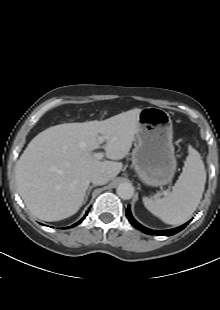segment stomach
I'll list each match as a JSON object with an SVG mask.
<instances>
[{
	"label": "stomach",
	"instance_id": "stomach-1",
	"mask_svg": "<svg viewBox=\"0 0 220 310\" xmlns=\"http://www.w3.org/2000/svg\"><path fill=\"white\" fill-rule=\"evenodd\" d=\"M136 139L132 163L140 180L149 186L171 182L177 161L170 115L157 107L141 109Z\"/></svg>",
	"mask_w": 220,
	"mask_h": 310
}]
</instances>
